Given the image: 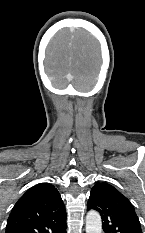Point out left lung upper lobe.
Segmentation results:
<instances>
[{
  "mask_svg": "<svg viewBox=\"0 0 145 233\" xmlns=\"http://www.w3.org/2000/svg\"><path fill=\"white\" fill-rule=\"evenodd\" d=\"M87 209H95L100 213L106 233H142L133 205L110 184L94 185Z\"/></svg>",
  "mask_w": 145,
  "mask_h": 233,
  "instance_id": "1",
  "label": "left lung upper lobe"
}]
</instances>
